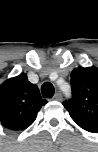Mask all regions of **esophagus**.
Returning a JSON list of instances; mask_svg holds the SVG:
<instances>
[{"instance_id":"34e87169","label":"esophagus","mask_w":98,"mask_h":152,"mask_svg":"<svg viewBox=\"0 0 98 152\" xmlns=\"http://www.w3.org/2000/svg\"><path fill=\"white\" fill-rule=\"evenodd\" d=\"M54 100L60 101L62 99V94L60 91H57L53 97Z\"/></svg>"}]
</instances>
